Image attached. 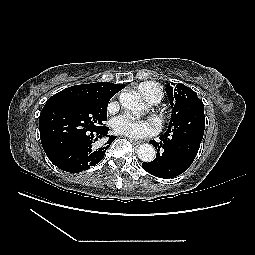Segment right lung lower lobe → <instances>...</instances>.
<instances>
[{
    "instance_id": "1",
    "label": "right lung lower lobe",
    "mask_w": 255,
    "mask_h": 255,
    "mask_svg": "<svg viewBox=\"0 0 255 255\" xmlns=\"http://www.w3.org/2000/svg\"><path fill=\"white\" fill-rule=\"evenodd\" d=\"M108 127L78 136L66 144L56 147L41 138L42 146L50 161L61 170L77 173L99 163L115 136H108ZM108 140L102 145V140Z\"/></svg>"
}]
</instances>
